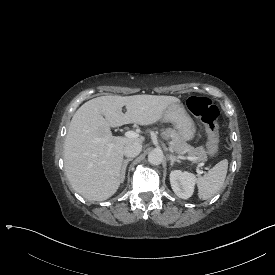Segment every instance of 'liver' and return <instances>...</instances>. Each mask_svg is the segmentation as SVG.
<instances>
[{"label": "liver", "instance_id": "obj_1", "mask_svg": "<svg viewBox=\"0 0 275 275\" xmlns=\"http://www.w3.org/2000/svg\"><path fill=\"white\" fill-rule=\"evenodd\" d=\"M179 102L173 96L115 95L84 103L73 115L64 142V168L73 189L88 200L111 197L121 183L124 146L142 143L144 137H115L110 127L153 124L170 104Z\"/></svg>", "mask_w": 275, "mask_h": 275}]
</instances>
